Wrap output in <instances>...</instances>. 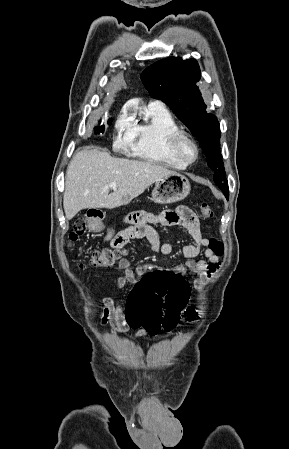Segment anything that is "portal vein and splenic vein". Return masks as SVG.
I'll return each mask as SVG.
<instances>
[{
  "label": "portal vein and splenic vein",
  "mask_w": 289,
  "mask_h": 449,
  "mask_svg": "<svg viewBox=\"0 0 289 449\" xmlns=\"http://www.w3.org/2000/svg\"><path fill=\"white\" fill-rule=\"evenodd\" d=\"M109 187L113 188L115 190L116 187H117V183L116 182H112V183L109 184Z\"/></svg>",
  "instance_id": "obj_1"
}]
</instances>
